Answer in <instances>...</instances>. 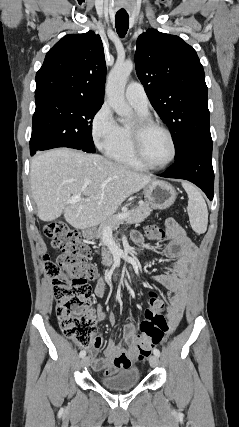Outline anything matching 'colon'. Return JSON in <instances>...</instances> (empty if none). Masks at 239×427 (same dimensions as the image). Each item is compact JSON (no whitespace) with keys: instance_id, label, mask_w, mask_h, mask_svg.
<instances>
[{"instance_id":"5ec220e1","label":"colon","mask_w":239,"mask_h":427,"mask_svg":"<svg viewBox=\"0 0 239 427\" xmlns=\"http://www.w3.org/2000/svg\"><path fill=\"white\" fill-rule=\"evenodd\" d=\"M44 232L61 252L56 262L44 256L45 272L52 278L60 329L80 347L89 349L93 344L96 323L91 309L90 281L98 276L97 267L89 263L90 249L80 234L67 224L51 223ZM146 236L153 244H163L165 240L158 222L147 228ZM147 294L149 308L141 322L137 343L139 359L150 355L151 348L161 343L169 328L162 314L165 297L156 289H149Z\"/></svg>"}]
</instances>
